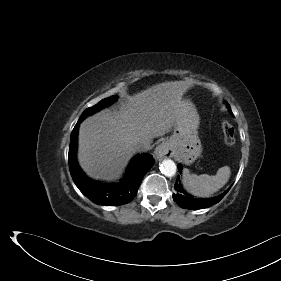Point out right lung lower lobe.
<instances>
[{
  "mask_svg": "<svg viewBox=\"0 0 281 281\" xmlns=\"http://www.w3.org/2000/svg\"><path fill=\"white\" fill-rule=\"evenodd\" d=\"M82 121L79 119L75 125L71 133L69 146V170L74 183L87 198L96 204L119 206L129 203L137 194L144 175L154 165L153 157L147 153L135 156L127 169L125 177L118 183L107 184L88 178L76 160L78 128Z\"/></svg>",
  "mask_w": 281,
  "mask_h": 281,
  "instance_id": "right-lung-lower-lobe-1",
  "label": "right lung lower lobe"
}]
</instances>
